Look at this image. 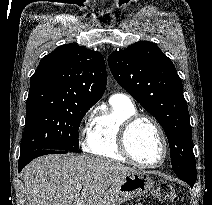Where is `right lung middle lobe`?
I'll return each instance as SVG.
<instances>
[{"label":"right lung middle lobe","mask_w":212,"mask_h":205,"mask_svg":"<svg viewBox=\"0 0 212 205\" xmlns=\"http://www.w3.org/2000/svg\"><path fill=\"white\" fill-rule=\"evenodd\" d=\"M93 105H27L20 157L37 150L78 151V129Z\"/></svg>","instance_id":"right-lung-middle-lobe-1"}]
</instances>
